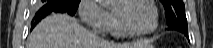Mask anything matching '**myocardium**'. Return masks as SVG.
Returning <instances> with one entry per match:
<instances>
[{
    "mask_svg": "<svg viewBox=\"0 0 213 48\" xmlns=\"http://www.w3.org/2000/svg\"><path fill=\"white\" fill-rule=\"evenodd\" d=\"M135 1L145 2L146 4H148L151 7V9L153 11V25H152V27L149 30H146V31L134 30L133 28H131L126 23L122 14L115 10L114 13L117 17V20H118L120 27L122 28L124 33H126L128 36L141 37V36H145V35L153 33L158 28V25H159V15H158V9H157L156 5L154 4V2L152 0H123V1H121V4L127 5V4H130V3L135 2Z\"/></svg>",
    "mask_w": 213,
    "mask_h": 48,
    "instance_id": "f54148a6",
    "label": "myocardium"
}]
</instances>
